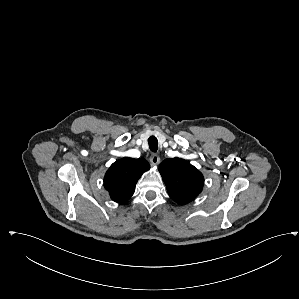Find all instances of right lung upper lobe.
Returning <instances> with one entry per match:
<instances>
[{
	"instance_id": "1",
	"label": "right lung upper lobe",
	"mask_w": 299,
	"mask_h": 299,
	"mask_svg": "<svg viewBox=\"0 0 299 299\" xmlns=\"http://www.w3.org/2000/svg\"><path fill=\"white\" fill-rule=\"evenodd\" d=\"M149 168V163L143 158L125 157L114 162L104 177V187L111 199L117 203L126 202L134 194L138 179Z\"/></svg>"
}]
</instances>
